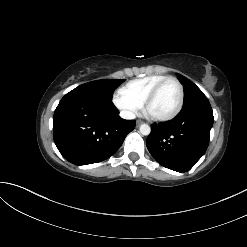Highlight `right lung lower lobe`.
<instances>
[{
	"label": "right lung lower lobe",
	"mask_w": 247,
	"mask_h": 247,
	"mask_svg": "<svg viewBox=\"0 0 247 247\" xmlns=\"http://www.w3.org/2000/svg\"><path fill=\"white\" fill-rule=\"evenodd\" d=\"M118 114L111 101L66 94L53 118L54 142L61 155L75 165L112 156L136 124Z\"/></svg>",
	"instance_id": "obj_1"
}]
</instances>
